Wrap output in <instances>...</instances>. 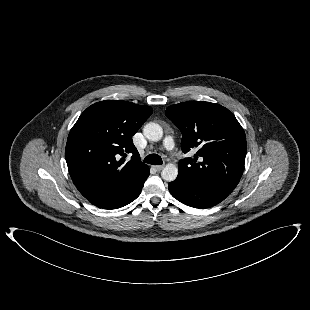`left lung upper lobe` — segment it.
<instances>
[{
	"mask_svg": "<svg viewBox=\"0 0 310 310\" xmlns=\"http://www.w3.org/2000/svg\"><path fill=\"white\" fill-rule=\"evenodd\" d=\"M166 116L183 134L184 153L178 176L194 183L231 193L240 181L246 156V137L235 116L210 102L188 101L167 107Z\"/></svg>",
	"mask_w": 310,
	"mask_h": 310,
	"instance_id": "5c2ea615",
	"label": "left lung upper lobe"
}]
</instances>
